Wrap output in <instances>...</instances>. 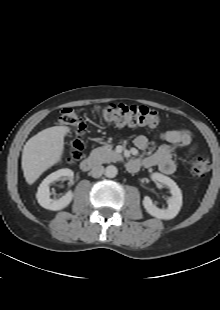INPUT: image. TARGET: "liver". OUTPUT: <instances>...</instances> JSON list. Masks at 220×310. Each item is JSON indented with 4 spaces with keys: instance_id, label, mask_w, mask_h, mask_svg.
I'll use <instances>...</instances> for the list:
<instances>
[{
    "instance_id": "1",
    "label": "liver",
    "mask_w": 220,
    "mask_h": 310,
    "mask_svg": "<svg viewBox=\"0 0 220 310\" xmlns=\"http://www.w3.org/2000/svg\"><path fill=\"white\" fill-rule=\"evenodd\" d=\"M67 126H53L31 137L22 153V170L28 184H33L43 172L58 163L64 151Z\"/></svg>"
}]
</instances>
